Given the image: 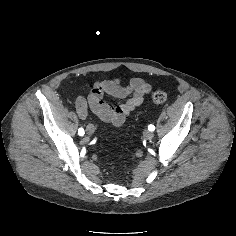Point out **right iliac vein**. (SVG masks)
I'll return each mask as SVG.
<instances>
[{"label": "right iliac vein", "mask_w": 236, "mask_h": 236, "mask_svg": "<svg viewBox=\"0 0 236 236\" xmlns=\"http://www.w3.org/2000/svg\"><path fill=\"white\" fill-rule=\"evenodd\" d=\"M95 131V128L92 124L87 125L86 127V132L88 135H92Z\"/></svg>", "instance_id": "obj_1"}]
</instances>
